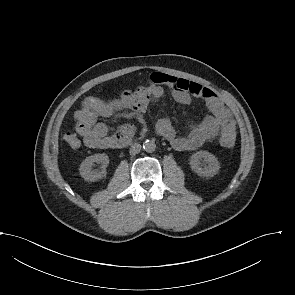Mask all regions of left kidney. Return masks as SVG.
I'll return each instance as SVG.
<instances>
[{
	"instance_id": "left-kidney-1",
	"label": "left kidney",
	"mask_w": 295,
	"mask_h": 295,
	"mask_svg": "<svg viewBox=\"0 0 295 295\" xmlns=\"http://www.w3.org/2000/svg\"><path fill=\"white\" fill-rule=\"evenodd\" d=\"M189 164L195 173L204 177H213L220 169L217 158L207 151L194 153L190 157Z\"/></svg>"
}]
</instances>
